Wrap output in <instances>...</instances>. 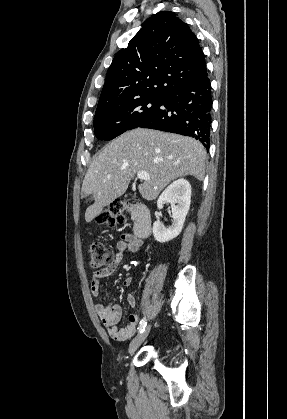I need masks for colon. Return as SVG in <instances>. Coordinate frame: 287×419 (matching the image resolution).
Returning a JSON list of instances; mask_svg holds the SVG:
<instances>
[{"instance_id":"obj_1","label":"colon","mask_w":287,"mask_h":419,"mask_svg":"<svg viewBox=\"0 0 287 419\" xmlns=\"http://www.w3.org/2000/svg\"><path fill=\"white\" fill-rule=\"evenodd\" d=\"M129 217L123 202L115 201L108 209L97 215L99 224L114 227L117 223L125 221ZM89 266L93 269L100 268L111 261V252L103 244L95 242L88 247Z\"/></svg>"}]
</instances>
